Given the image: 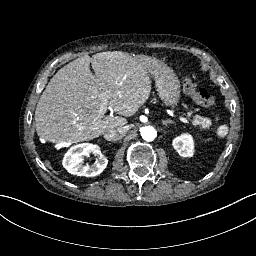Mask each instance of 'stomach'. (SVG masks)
Instances as JSON below:
<instances>
[{
  "mask_svg": "<svg viewBox=\"0 0 256 256\" xmlns=\"http://www.w3.org/2000/svg\"><path fill=\"white\" fill-rule=\"evenodd\" d=\"M155 83L159 98L167 107L177 108L180 102L181 85L177 75L167 67L158 69L155 75Z\"/></svg>",
  "mask_w": 256,
  "mask_h": 256,
  "instance_id": "0dacf381",
  "label": "stomach"
}]
</instances>
